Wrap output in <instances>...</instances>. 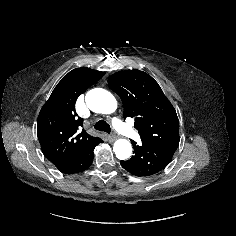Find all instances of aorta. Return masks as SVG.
<instances>
[{
    "label": "aorta",
    "mask_w": 236,
    "mask_h": 236,
    "mask_svg": "<svg viewBox=\"0 0 236 236\" xmlns=\"http://www.w3.org/2000/svg\"><path fill=\"white\" fill-rule=\"evenodd\" d=\"M85 99L87 106L96 113L111 114L117 109L115 97L102 88L88 91ZM113 151L118 159H127L132 153L131 143L126 139H118L114 143Z\"/></svg>",
    "instance_id": "obj_1"
}]
</instances>
